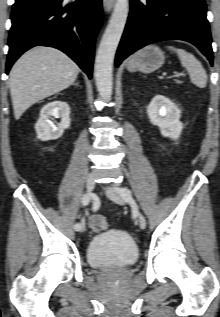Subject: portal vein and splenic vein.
<instances>
[{"label": "portal vein and splenic vein", "mask_w": 220, "mask_h": 317, "mask_svg": "<svg viewBox=\"0 0 220 317\" xmlns=\"http://www.w3.org/2000/svg\"><path fill=\"white\" fill-rule=\"evenodd\" d=\"M174 76L177 78H180L182 76V74L181 73H174Z\"/></svg>", "instance_id": "1"}]
</instances>
